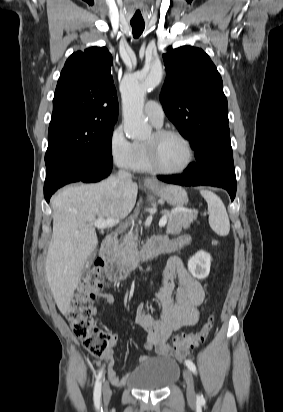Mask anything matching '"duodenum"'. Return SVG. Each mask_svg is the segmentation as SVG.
Segmentation results:
<instances>
[{"mask_svg": "<svg viewBox=\"0 0 283 412\" xmlns=\"http://www.w3.org/2000/svg\"><path fill=\"white\" fill-rule=\"evenodd\" d=\"M118 233L110 232L104 239L99 251V261L103 266L104 274L114 282H120L130 277L139 265L150 257L163 253L171 252L172 246L159 238L147 242L138 253L128 261L118 262L116 259V243Z\"/></svg>", "mask_w": 283, "mask_h": 412, "instance_id": "410a0bca", "label": "duodenum"}]
</instances>
